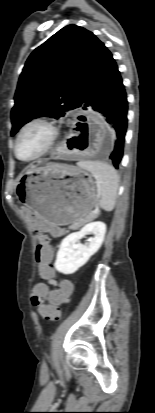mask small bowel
Here are the masks:
<instances>
[{
    "label": "small bowel",
    "mask_w": 155,
    "mask_h": 413,
    "mask_svg": "<svg viewBox=\"0 0 155 413\" xmlns=\"http://www.w3.org/2000/svg\"><path fill=\"white\" fill-rule=\"evenodd\" d=\"M18 212L21 214L23 218H27L28 225L31 231H51V233L56 236H59L63 233V231L59 229L58 222H48L47 218H41L39 214H34V211L30 209L28 205H20L18 207ZM37 273L41 277V273L39 272V269ZM43 279H45L47 282L36 284L33 287L32 294H37L40 297L45 298L51 292L56 291L55 289L57 287V284H56L57 280L55 279V276L47 277Z\"/></svg>",
    "instance_id": "1"
}]
</instances>
